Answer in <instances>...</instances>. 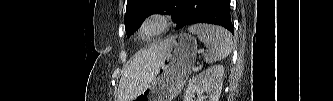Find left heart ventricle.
Returning <instances> with one entry per match:
<instances>
[{
	"instance_id": "left-heart-ventricle-1",
	"label": "left heart ventricle",
	"mask_w": 333,
	"mask_h": 101,
	"mask_svg": "<svg viewBox=\"0 0 333 101\" xmlns=\"http://www.w3.org/2000/svg\"><path fill=\"white\" fill-rule=\"evenodd\" d=\"M155 28H156V25H155V24L148 25V26L145 28L144 33H145V34H151L152 32L155 31Z\"/></svg>"
}]
</instances>
